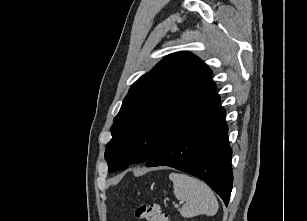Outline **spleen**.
Segmentation results:
<instances>
[{
  "instance_id": "spleen-1",
  "label": "spleen",
  "mask_w": 307,
  "mask_h": 221,
  "mask_svg": "<svg viewBox=\"0 0 307 221\" xmlns=\"http://www.w3.org/2000/svg\"><path fill=\"white\" fill-rule=\"evenodd\" d=\"M174 194L182 202L180 213L184 218L197 215L214 216L218 211V202L213 191L204 182L185 174L171 173Z\"/></svg>"
}]
</instances>
